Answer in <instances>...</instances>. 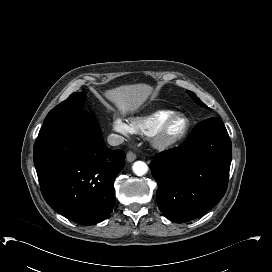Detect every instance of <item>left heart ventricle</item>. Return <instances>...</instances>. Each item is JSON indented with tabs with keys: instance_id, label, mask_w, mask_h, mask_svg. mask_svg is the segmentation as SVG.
<instances>
[{
	"instance_id": "obj_1",
	"label": "left heart ventricle",
	"mask_w": 272,
	"mask_h": 272,
	"mask_svg": "<svg viewBox=\"0 0 272 272\" xmlns=\"http://www.w3.org/2000/svg\"><path fill=\"white\" fill-rule=\"evenodd\" d=\"M183 125H184L183 120L175 122L170 129V133L174 134L179 132L183 128Z\"/></svg>"
}]
</instances>
